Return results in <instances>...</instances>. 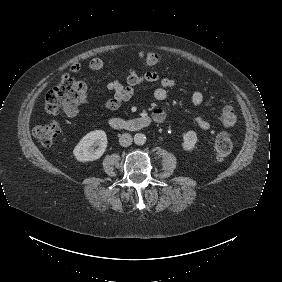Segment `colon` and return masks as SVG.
Returning a JSON list of instances; mask_svg holds the SVG:
<instances>
[{
  "instance_id": "colon-1",
  "label": "colon",
  "mask_w": 282,
  "mask_h": 282,
  "mask_svg": "<svg viewBox=\"0 0 282 282\" xmlns=\"http://www.w3.org/2000/svg\"><path fill=\"white\" fill-rule=\"evenodd\" d=\"M141 63L144 66H154L161 63V56L154 51L143 52ZM87 98L86 87L74 77L63 74L46 94L45 110L48 114L55 115L61 109H70L80 106ZM220 121L227 127H234L238 122V115L234 108L223 107L220 112ZM59 133V124L51 121L39 125L35 129V137L42 144H51ZM214 150L217 158L228 157L233 150V141L227 134H218L214 139Z\"/></svg>"
}]
</instances>
